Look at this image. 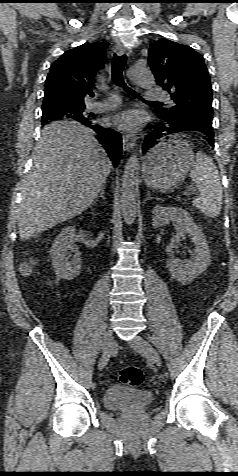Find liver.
Masks as SVG:
<instances>
[{"mask_svg": "<svg viewBox=\"0 0 238 476\" xmlns=\"http://www.w3.org/2000/svg\"><path fill=\"white\" fill-rule=\"evenodd\" d=\"M32 159L18 213L21 240L84 212L104 188L112 169L93 131L76 121L45 126Z\"/></svg>", "mask_w": 238, "mask_h": 476, "instance_id": "6515ba94", "label": "liver"}]
</instances>
